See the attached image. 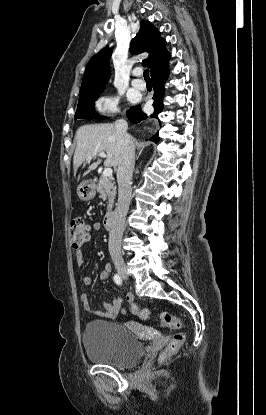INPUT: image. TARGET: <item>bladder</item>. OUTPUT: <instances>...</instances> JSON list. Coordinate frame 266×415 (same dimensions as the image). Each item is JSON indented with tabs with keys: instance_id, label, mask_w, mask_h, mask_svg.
Returning a JSON list of instances; mask_svg holds the SVG:
<instances>
[{
	"instance_id": "1",
	"label": "bladder",
	"mask_w": 266,
	"mask_h": 415,
	"mask_svg": "<svg viewBox=\"0 0 266 415\" xmlns=\"http://www.w3.org/2000/svg\"><path fill=\"white\" fill-rule=\"evenodd\" d=\"M82 342L91 361L117 368L136 365L144 354L143 345L136 335L125 326L112 321L88 322Z\"/></svg>"
}]
</instances>
